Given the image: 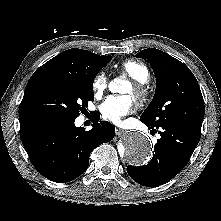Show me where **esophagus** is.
I'll list each match as a JSON object with an SVG mask.
<instances>
[{
    "label": "esophagus",
    "mask_w": 221,
    "mask_h": 221,
    "mask_svg": "<svg viewBox=\"0 0 221 221\" xmlns=\"http://www.w3.org/2000/svg\"><path fill=\"white\" fill-rule=\"evenodd\" d=\"M115 132H116V135H121V134H123L125 131L123 130V129H120V128H116L115 129Z\"/></svg>",
    "instance_id": "obj_1"
}]
</instances>
